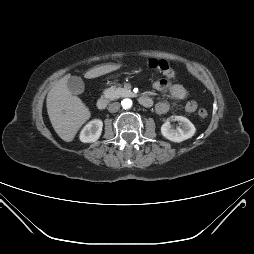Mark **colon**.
I'll use <instances>...</instances> for the list:
<instances>
[{
  "label": "colon",
  "mask_w": 254,
  "mask_h": 254,
  "mask_svg": "<svg viewBox=\"0 0 254 254\" xmlns=\"http://www.w3.org/2000/svg\"><path fill=\"white\" fill-rule=\"evenodd\" d=\"M148 66L161 73L162 75L166 76L167 78L173 79L176 76V73L174 71V69L171 67V65L163 59H151L148 61ZM198 116L201 119H206L208 116V112L206 109L201 108L198 110Z\"/></svg>",
  "instance_id": "5ec220e1"
}]
</instances>
